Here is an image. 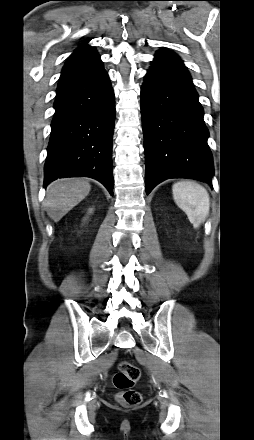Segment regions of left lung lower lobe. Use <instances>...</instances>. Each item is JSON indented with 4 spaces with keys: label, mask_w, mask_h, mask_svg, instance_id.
I'll use <instances>...</instances> for the list:
<instances>
[{
    "label": "left lung lower lobe",
    "mask_w": 254,
    "mask_h": 440,
    "mask_svg": "<svg viewBox=\"0 0 254 440\" xmlns=\"http://www.w3.org/2000/svg\"><path fill=\"white\" fill-rule=\"evenodd\" d=\"M146 153V193L169 178H192L212 186V154L203 108L181 59L162 49L155 54L141 88Z\"/></svg>",
    "instance_id": "1"
}]
</instances>
